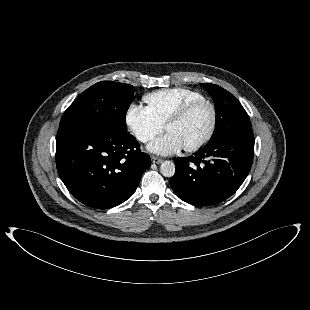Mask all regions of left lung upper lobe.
<instances>
[{
  "label": "left lung upper lobe",
  "mask_w": 310,
  "mask_h": 310,
  "mask_svg": "<svg viewBox=\"0 0 310 310\" xmlns=\"http://www.w3.org/2000/svg\"><path fill=\"white\" fill-rule=\"evenodd\" d=\"M201 86L212 96L216 112L215 130L207 145L219 142L238 132L251 129L248 114L231 93L214 84L203 83Z\"/></svg>",
  "instance_id": "obj_1"
}]
</instances>
